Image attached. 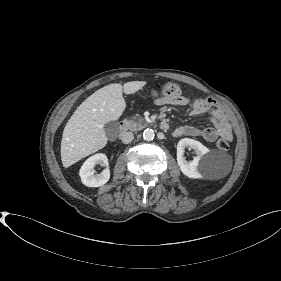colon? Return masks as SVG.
<instances>
[{
	"mask_svg": "<svg viewBox=\"0 0 281 281\" xmlns=\"http://www.w3.org/2000/svg\"><path fill=\"white\" fill-rule=\"evenodd\" d=\"M179 93V87L175 83H162L157 84L152 87L148 94L153 99H160L166 96H172ZM217 147L220 150H228L229 149V142L227 139H220L217 141Z\"/></svg>",
	"mask_w": 281,
	"mask_h": 281,
	"instance_id": "colon-1",
	"label": "colon"
}]
</instances>
